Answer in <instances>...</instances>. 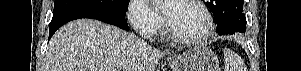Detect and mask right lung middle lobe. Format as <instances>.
Returning a JSON list of instances; mask_svg holds the SVG:
<instances>
[{"instance_id":"dd1d6c3e","label":"right lung middle lobe","mask_w":301,"mask_h":71,"mask_svg":"<svg viewBox=\"0 0 301 71\" xmlns=\"http://www.w3.org/2000/svg\"><path fill=\"white\" fill-rule=\"evenodd\" d=\"M128 0H55L54 12L75 6H92L126 15Z\"/></svg>"}]
</instances>
